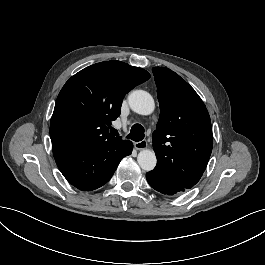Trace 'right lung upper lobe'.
I'll list each match as a JSON object with an SVG mask.
<instances>
[{
	"instance_id": "cb5924a9",
	"label": "right lung upper lobe",
	"mask_w": 265,
	"mask_h": 265,
	"mask_svg": "<svg viewBox=\"0 0 265 265\" xmlns=\"http://www.w3.org/2000/svg\"><path fill=\"white\" fill-rule=\"evenodd\" d=\"M150 74L110 60L73 75L61 89L50 123L52 144L92 145L121 140L109 133L124 96Z\"/></svg>"
}]
</instances>
